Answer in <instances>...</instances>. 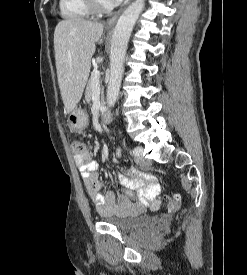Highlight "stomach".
Segmentation results:
<instances>
[{"instance_id": "obj_1", "label": "stomach", "mask_w": 247, "mask_h": 275, "mask_svg": "<svg viewBox=\"0 0 247 275\" xmlns=\"http://www.w3.org/2000/svg\"><path fill=\"white\" fill-rule=\"evenodd\" d=\"M68 122L71 129L82 131L88 125V117L85 111L80 108H75L68 116Z\"/></svg>"}]
</instances>
